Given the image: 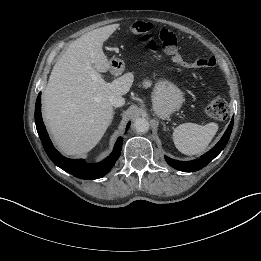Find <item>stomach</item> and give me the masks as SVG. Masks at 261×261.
<instances>
[{"instance_id": "1", "label": "stomach", "mask_w": 261, "mask_h": 261, "mask_svg": "<svg viewBox=\"0 0 261 261\" xmlns=\"http://www.w3.org/2000/svg\"><path fill=\"white\" fill-rule=\"evenodd\" d=\"M119 63L120 61L115 59L111 62V67L117 72L124 68V64ZM183 101V92L174 83L163 77L157 79L152 93V104L158 117L168 118L181 108Z\"/></svg>"}]
</instances>
